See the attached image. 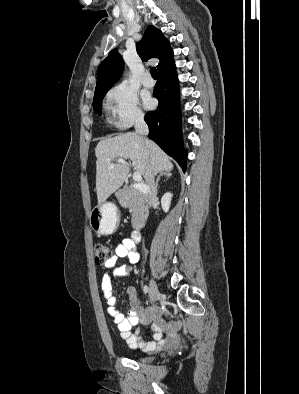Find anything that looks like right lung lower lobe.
<instances>
[{
    "mask_svg": "<svg viewBox=\"0 0 299 394\" xmlns=\"http://www.w3.org/2000/svg\"><path fill=\"white\" fill-rule=\"evenodd\" d=\"M158 81L153 96L159 101L158 108L145 115L149 126V138L156 142L168 155L186 170L187 153L183 147L180 96L174 61L158 70Z\"/></svg>",
    "mask_w": 299,
    "mask_h": 394,
    "instance_id": "1",
    "label": "right lung lower lobe"
}]
</instances>
